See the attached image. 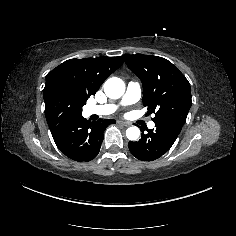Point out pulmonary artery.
<instances>
[{
    "mask_svg": "<svg viewBox=\"0 0 236 236\" xmlns=\"http://www.w3.org/2000/svg\"><path fill=\"white\" fill-rule=\"evenodd\" d=\"M141 98V88L138 84L130 82L127 86L125 95L122 98L121 104H131L137 102ZM117 105L114 104H105V105H96V104H87L84 108V111L87 115H99L107 116L115 112ZM154 122L149 121L148 127L154 128Z\"/></svg>",
    "mask_w": 236,
    "mask_h": 236,
    "instance_id": "e3ab8cb5",
    "label": "pulmonary artery"
}]
</instances>
